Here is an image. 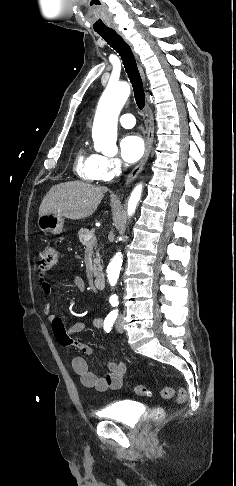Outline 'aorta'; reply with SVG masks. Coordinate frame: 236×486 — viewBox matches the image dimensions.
Masks as SVG:
<instances>
[{"label":"aorta","mask_w":236,"mask_h":486,"mask_svg":"<svg viewBox=\"0 0 236 486\" xmlns=\"http://www.w3.org/2000/svg\"><path fill=\"white\" fill-rule=\"evenodd\" d=\"M130 95V86L126 82L109 83L104 90L94 118L92 138L94 148L104 155L117 153V120L119 113ZM142 194V185H137L128 201V215L131 216ZM122 254L116 253L108 265L107 277L110 285H116L122 267Z\"/></svg>","instance_id":"762f6f07"}]
</instances>
